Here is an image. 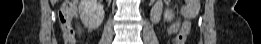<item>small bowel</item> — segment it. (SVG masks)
I'll use <instances>...</instances> for the list:
<instances>
[{
  "instance_id": "obj_1",
  "label": "small bowel",
  "mask_w": 261,
  "mask_h": 44,
  "mask_svg": "<svg viewBox=\"0 0 261 44\" xmlns=\"http://www.w3.org/2000/svg\"><path fill=\"white\" fill-rule=\"evenodd\" d=\"M199 5L191 6L189 3L185 2V5L181 9V15L183 17H190L194 18L198 12ZM161 12V5H157L153 9V19L154 21H157L159 19V15ZM180 18H178L169 28L170 33H175L178 31L180 27Z\"/></svg>"
}]
</instances>
